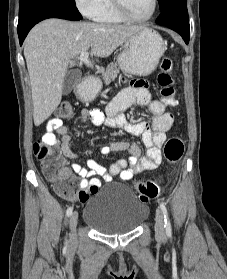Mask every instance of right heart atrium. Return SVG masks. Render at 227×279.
I'll use <instances>...</instances> for the list:
<instances>
[{
	"label": "right heart atrium",
	"instance_id": "obj_1",
	"mask_svg": "<svg viewBox=\"0 0 227 279\" xmlns=\"http://www.w3.org/2000/svg\"><path fill=\"white\" fill-rule=\"evenodd\" d=\"M79 10L88 17H94L105 0H74Z\"/></svg>",
	"mask_w": 227,
	"mask_h": 279
}]
</instances>
